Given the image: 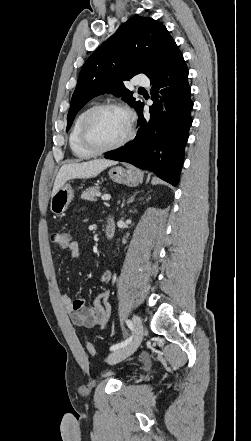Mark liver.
Here are the masks:
<instances>
[{
	"label": "liver",
	"mask_w": 251,
	"mask_h": 441,
	"mask_svg": "<svg viewBox=\"0 0 251 441\" xmlns=\"http://www.w3.org/2000/svg\"><path fill=\"white\" fill-rule=\"evenodd\" d=\"M116 161L105 160V159H95L91 161L81 162V163H69L63 165L54 182L52 195L57 192L68 180L71 179H84L92 178L97 176L107 167L116 165Z\"/></svg>",
	"instance_id": "6515ba94"
}]
</instances>
